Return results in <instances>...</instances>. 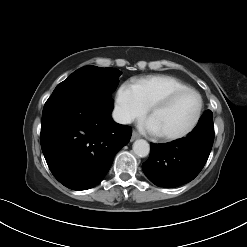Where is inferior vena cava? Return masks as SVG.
<instances>
[{
  "mask_svg": "<svg viewBox=\"0 0 247 247\" xmlns=\"http://www.w3.org/2000/svg\"><path fill=\"white\" fill-rule=\"evenodd\" d=\"M115 122L120 124H130L132 122V117L120 108H115L112 114Z\"/></svg>",
  "mask_w": 247,
  "mask_h": 247,
  "instance_id": "602c4592",
  "label": "inferior vena cava"
}]
</instances>
